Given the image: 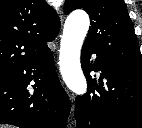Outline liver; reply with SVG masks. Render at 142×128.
Here are the masks:
<instances>
[{"label": "liver", "mask_w": 142, "mask_h": 128, "mask_svg": "<svg viewBox=\"0 0 142 128\" xmlns=\"http://www.w3.org/2000/svg\"><path fill=\"white\" fill-rule=\"evenodd\" d=\"M0 128H6V127H4V126H0Z\"/></svg>", "instance_id": "1"}]
</instances>
